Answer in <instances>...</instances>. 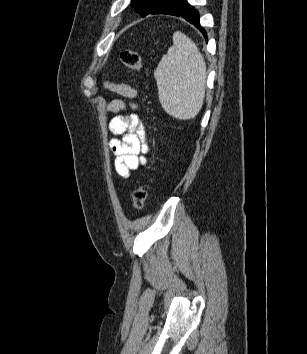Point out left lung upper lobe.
Masks as SVG:
<instances>
[{"mask_svg":"<svg viewBox=\"0 0 307 354\" xmlns=\"http://www.w3.org/2000/svg\"><path fill=\"white\" fill-rule=\"evenodd\" d=\"M169 0H131V5L142 17L162 9Z\"/></svg>","mask_w":307,"mask_h":354,"instance_id":"5c2ea615","label":"left lung upper lobe"}]
</instances>
